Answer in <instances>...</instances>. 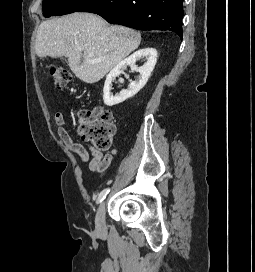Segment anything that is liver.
Returning <instances> with one entry per match:
<instances>
[{
  "mask_svg": "<svg viewBox=\"0 0 255 272\" xmlns=\"http://www.w3.org/2000/svg\"><path fill=\"white\" fill-rule=\"evenodd\" d=\"M141 42V34L109 26L92 13H72L43 21L37 31L38 57H67L71 71L85 83H96ZM81 59L83 61L81 62Z\"/></svg>",
  "mask_w": 255,
  "mask_h": 272,
  "instance_id": "6515ba94",
  "label": "liver"
}]
</instances>
